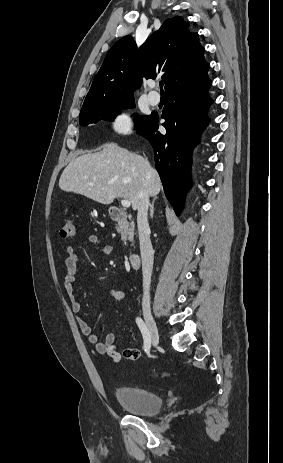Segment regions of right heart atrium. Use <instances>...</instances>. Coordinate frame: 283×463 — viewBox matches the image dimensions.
I'll return each instance as SVG.
<instances>
[{"instance_id":"1","label":"right heart atrium","mask_w":283,"mask_h":463,"mask_svg":"<svg viewBox=\"0 0 283 463\" xmlns=\"http://www.w3.org/2000/svg\"><path fill=\"white\" fill-rule=\"evenodd\" d=\"M111 128L117 134L127 135L131 132L132 120L126 113H117L111 120Z\"/></svg>"}]
</instances>
